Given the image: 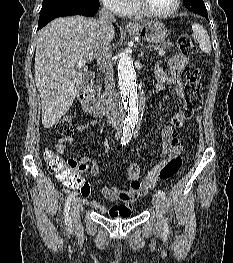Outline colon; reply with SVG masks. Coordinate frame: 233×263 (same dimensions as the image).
<instances>
[{"instance_id": "1", "label": "colon", "mask_w": 233, "mask_h": 263, "mask_svg": "<svg viewBox=\"0 0 233 263\" xmlns=\"http://www.w3.org/2000/svg\"><path fill=\"white\" fill-rule=\"evenodd\" d=\"M178 45L181 51L187 55L196 53V47L188 34H181L178 37ZM185 80L184 87V105L173 118V129L180 128L184 123L191 119L202 107L201 95V70L195 65H188L183 70ZM59 134L69 135L73 130V119L71 116H63L55 125ZM45 160L50 173L61 180H65V189H77L79 195H90V187L85 182L83 176H87V171H74L75 162L65 160L63 157L53 153L50 150L45 152ZM182 166V158L177 156L163 166L155 173V178L166 180L173 177ZM78 183V184H76Z\"/></svg>"}]
</instances>
